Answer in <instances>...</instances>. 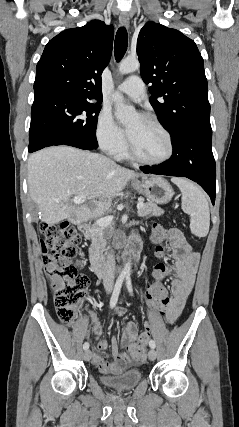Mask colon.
Segmentation results:
<instances>
[{
  "mask_svg": "<svg viewBox=\"0 0 239 427\" xmlns=\"http://www.w3.org/2000/svg\"><path fill=\"white\" fill-rule=\"evenodd\" d=\"M148 232L157 262H153V280L148 281L144 300L148 308H155L159 314H164L170 291L164 282L170 281V260L167 259L170 235L163 222H152ZM40 232L41 259L45 266V273L54 295V304L58 318L70 324L77 312L78 304L87 294L88 277L79 272L81 263V236L77 230L67 222L42 223ZM149 329L143 332L139 340L127 347L125 354H129L137 363L145 360L146 344L149 338Z\"/></svg>",
  "mask_w": 239,
  "mask_h": 427,
  "instance_id": "5ec220e1",
  "label": "colon"
}]
</instances>
